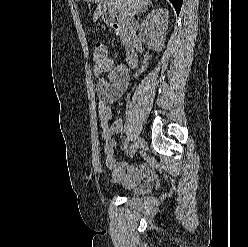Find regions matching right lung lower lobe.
Here are the masks:
<instances>
[{"label":"right lung lower lobe","instance_id":"1","mask_svg":"<svg viewBox=\"0 0 248 247\" xmlns=\"http://www.w3.org/2000/svg\"><path fill=\"white\" fill-rule=\"evenodd\" d=\"M169 1L173 4V6H174V8L176 10L177 15H179V12L181 10V6H182V1L183 0H169Z\"/></svg>","mask_w":248,"mask_h":247}]
</instances>
